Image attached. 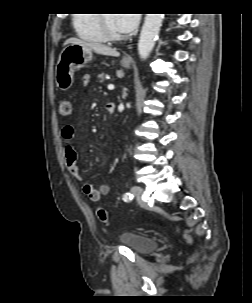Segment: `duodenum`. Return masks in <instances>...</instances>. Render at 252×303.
<instances>
[{
	"mask_svg": "<svg viewBox=\"0 0 252 303\" xmlns=\"http://www.w3.org/2000/svg\"><path fill=\"white\" fill-rule=\"evenodd\" d=\"M107 113L112 114L115 110V106L113 103H107L105 106Z\"/></svg>",
	"mask_w": 252,
	"mask_h": 303,
	"instance_id": "410a0bca",
	"label": "duodenum"
}]
</instances>
